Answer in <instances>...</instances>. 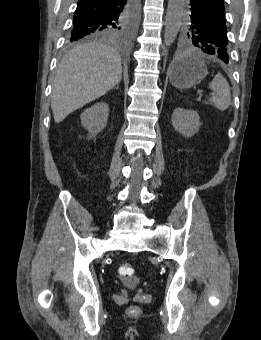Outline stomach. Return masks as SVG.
<instances>
[{
	"mask_svg": "<svg viewBox=\"0 0 261 340\" xmlns=\"http://www.w3.org/2000/svg\"><path fill=\"white\" fill-rule=\"evenodd\" d=\"M207 73L205 62L195 55L180 57L169 69L171 84L179 89H187L199 84Z\"/></svg>",
	"mask_w": 261,
	"mask_h": 340,
	"instance_id": "stomach-1",
	"label": "stomach"
}]
</instances>
